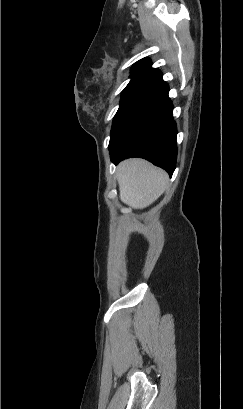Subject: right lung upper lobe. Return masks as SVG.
I'll return each mask as SVG.
<instances>
[{
  "instance_id": "cb5924a9",
  "label": "right lung upper lobe",
  "mask_w": 243,
  "mask_h": 409,
  "mask_svg": "<svg viewBox=\"0 0 243 409\" xmlns=\"http://www.w3.org/2000/svg\"><path fill=\"white\" fill-rule=\"evenodd\" d=\"M131 78L133 79H154V80H162V73L156 69L151 67L150 60L147 58L139 60L135 63L131 69Z\"/></svg>"
}]
</instances>
